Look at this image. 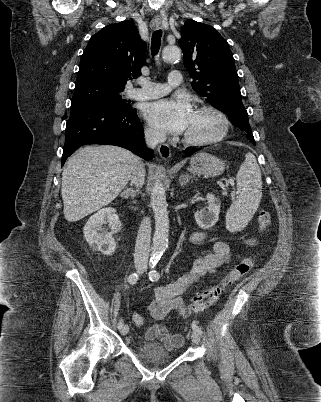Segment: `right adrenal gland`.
<instances>
[{"label": "right adrenal gland", "instance_id": "1", "mask_svg": "<svg viewBox=\"0 0 321 402\" xmlns=\"http://www.w3.org/2000/svg\"><path fill=\"white\" fill-rule=\"evenodd\" d=\"M139 192V189L137 188L136 190H134L133 188H128L123 190V192L121 193V196L124 198H128L129 196H131L132 198L135 197Z\"/></svg>", "mask_w": 321, "mask_h": 402}]
</instances>
